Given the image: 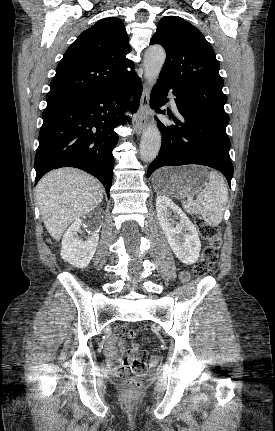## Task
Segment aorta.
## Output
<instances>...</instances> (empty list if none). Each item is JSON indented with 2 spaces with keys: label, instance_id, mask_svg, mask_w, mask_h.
I'll return each mask as SVG.
<instances>
[{
  "label": "aorta",
  "instance_id": "1",
  "mask_svg": "<svg viewBox=\"0 0 275 431\" xmlns=\"http://www.w3.org/2000/svg\"><path fill=\"white\" fill-rule=\"evenodd\" d=\"M166 53L163 47H149L144 56L145 78L153 86L164 65ZM161 146V134L154 120L145 129L140 142V156L144 162H152L158 155Z\"/></svg>",
  "mask_w": 275,
  "mask_h": 431
}]
</instances>
